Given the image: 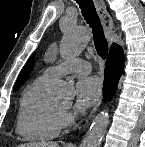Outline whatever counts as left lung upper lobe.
Masks as SVG:
<instances>
[{
    "label": "left lung upper lobe",
    "mask_w": 145,
    "mask_h": 147,
    "mask_svg": "<svg viewBox=\"0 0 145 147\" xmlns=\"http://www.w3.org/2000/svg\"><path fill=\"white\" fill-rule=\"evenodd\" d=\"M33 60H34V55L28 60V62L25 64L22 71L20 72L19 78L14 86V91L17 90L24 83L26 77L32 70Z\"/></svg>",
    "instance_id": "obj_1"
}]
</instances>
